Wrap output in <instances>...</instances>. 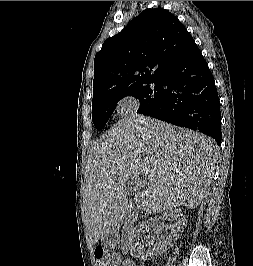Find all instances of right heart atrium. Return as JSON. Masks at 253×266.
<instances>
[{"instance_id":"1","label":"right heart atrium","mask_w":253,"mask_h":266,"mask_svg":"<svg viewBox=\"0 0 253 266\" xmlns=\"http://www.w3.org/2000/svg\"><path fill=\"white\" fill-rule=\"evenodd\" d=\"M140 107V99L135 95H125L117 103V111L120 115H128L137 111Z\"/></svg>"}]
</instances>
